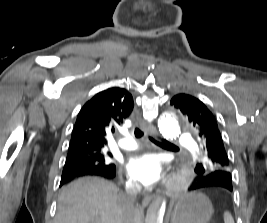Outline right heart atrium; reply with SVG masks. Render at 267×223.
<instances>
[{
    "instance_id": "1",
    "label": "right heart atrium",
    "mask_w": 267,
    "mask_h": 223,
    "mask_svg": "<svg viewBox=\"0 0 267 223\" xmlns=\"http://www.w3.org/2000/svg\"><path fill=\"white\" fill-rule=\"evenodd\" d=\"M126 186L131 189V190H135L136 189V183L131 179V178H128L127 181H126Z\"/></svg>"
}]
</instances>
